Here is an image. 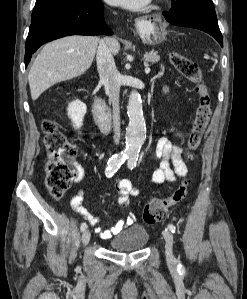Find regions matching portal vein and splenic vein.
<instances>
[{
	"mask_svg": "<svg viewBox=\"0 0 247 299\" xmlns=\"http://www.w3.org/2000/svg\"><path fill=\"white\" fill-rule=\"evenodd\" d=\"M150 72V68L148 67V65L145 68V73L148 74Z\"/></svg>",
	"mask_w": 247,
	"mask_h": 299,
	"instance_id": "obj_1",
	"label": "portal vein and splenic vein"
}]
</instances>
